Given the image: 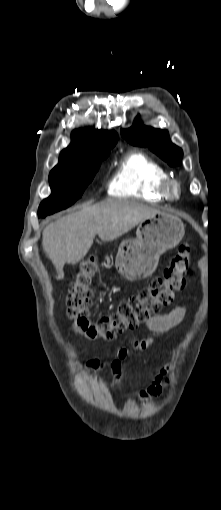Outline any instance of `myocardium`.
Here are the masks:
<instances>
[{"label": "myocardium", "instance_id": "1", "mask_svg": "<svg viewBox=\"0 0 221 510\" xmlns=\"http://www.w3.org/2000/svg\"><path fill=\"white\" fill-rule=\"evenodd\" d=\"M161 194L168 200L176 201L181 197L179 182L171 177L166 178L159 186Z\"/></svg>", "mask_w": 221, "mask_h": 510}]
</instances>
